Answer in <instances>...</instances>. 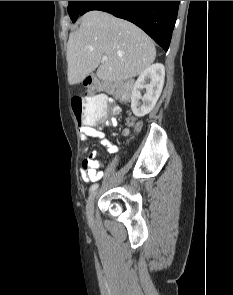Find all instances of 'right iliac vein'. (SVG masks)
Listing matches in <instances>:
<instances>
[{
    "instance_id": "obj_1",
    "label": "right iliac vein",
    "mask_w": 233,
    "mask_h": 295,
    "mask_svg": "<svg viewBox=\"0 0 233 295\" xmlns=\"http://www.w3.org/2000/svg\"><path fill=\"white\" fill-rule=\"evenodd\" d=\"M96 195H97V191H93V192H91V194L89 195V197L87 199L86 212H87L88 216H91L93 213Z\"/></svg>"
}]
</instances>
